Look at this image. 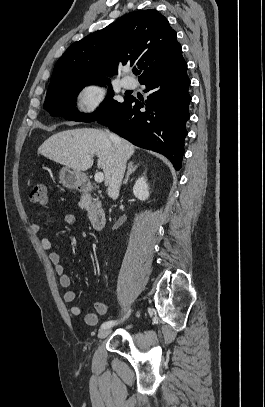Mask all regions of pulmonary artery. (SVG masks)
<instances>
[{
    "instance_id": "pulmonary-artery-1",
    "label": "pulmonary artery",
    "mask_w": 265,
    "mask_h": 407,
    "mask_svg": "<svg viewBox=\"0 0 265 407\" xmlns=\"http://www.w3.org/2000/svg\"><path fill=\"white\" fill-rule=\"evenodd\" d=\"M122 85H123V87L126 88V89H132V88L135 87L136 83H135V81H134L132 78H130V77H123V79H122Z\"/></svg>"
}]
</instances>
